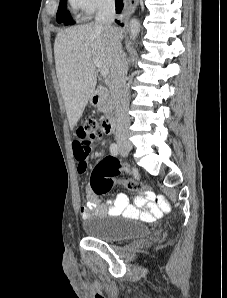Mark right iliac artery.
<instances>
[{
	"instance_id": "obj_1",
	"label": "right iliac artery",
	"mask_w": 227,
	"mask_h": 298,
	"mask_svg": "<svg viewBox=\"0 0 227 298\" xmlns=\"http://www.w3.org/2000/svg\"><path fill=\"white\" fill-rule=\"evenodd\" d=\"M110 152L113 156H117L119 153V148L118 145L116 143H112L110 146Z\"/></svg>"
}]
</instances>
